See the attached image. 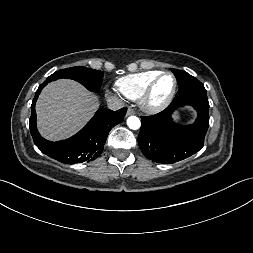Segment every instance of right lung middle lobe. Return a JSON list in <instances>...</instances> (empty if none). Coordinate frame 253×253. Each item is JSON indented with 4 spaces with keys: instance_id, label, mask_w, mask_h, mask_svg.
I'll use <instances>...</instances> for the list:
<instances>
[{
    "instance_id": "obj_1",
    "label": "right lung middle lobe",
    "mask_w": 253,
    "mask_h": 253,
    "mask_svg": "<svg viewBox=\"0 0 253 253\" xmlns=\"http://www.w3.org/2000/svg\"><path fill=\"white\" fill-rule=\"evenodd\" d=\"M103 75V72L99 70L77 66L56 71L46 80L51 82L59 78H69L83 84L88 90L99 91Z\"/></svg>"
}]
</instances>
